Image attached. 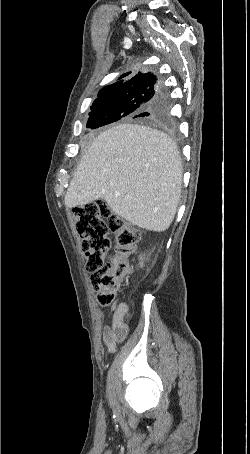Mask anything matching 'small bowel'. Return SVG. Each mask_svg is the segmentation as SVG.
Here are the masks:
<instances>
[{
	"label": "small bowel",
	"mask_w": 250,
	"mask_h": 454,
	"mask_svg": "<svg viewBox=\"0 0 250 454\" xmlns=\"http://www.w3.org/2000/svg\"><path fill=\"white\" fill-rule=\"evenodd\" d=\"M131 311L127 304L121 303L117 306L112 322L105 326L103 331V342L110 353L115 352L117 344L123 341L128 334L126 320L130 317Z\"/></svg>",
	"instance_id": "c3829d8e"
}]
</instances>
